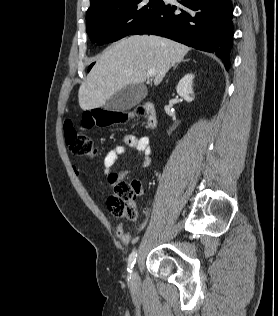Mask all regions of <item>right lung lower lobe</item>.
I'll use <instances>...</instances> for the list:
<instances>
[{"mask_svg":"<svg viewBox=\"0 0 278 316\" xmlns=\"http://www.w3.org/2000/svg\"><path fill=\"white\" fill-rule=\"evenodd\" d=\"M159 9L131 35L153 34L215 53L229 69L233 44L231 0H178Z\"/></svg>","mask_w":278,"mask_h":316,"instance_id":"98d812e1","label":"right lung lower lobe"}]
</instances>
